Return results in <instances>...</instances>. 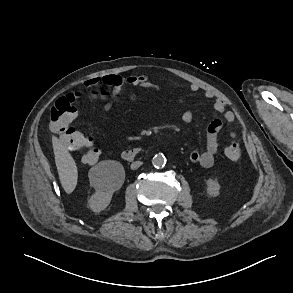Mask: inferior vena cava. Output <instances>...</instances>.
I'll return each instance as SVG.
<instances>
[{"instance_id":"inferior-vena-cava-1","label":"inferior vena cava","mask_w":293,"mask_h":293,"mask_svg":"<svg viewBox=\"0 0 293 293\" xmlns=\"http://www.w3.org/2000/svg\"><path fill=\"white\" fill-rule=\"evenodd\" d=\"M141 165H142L141 161H135L131 164V169L135 170V169L139 168Z\"/></svg>"}]
</instances>
